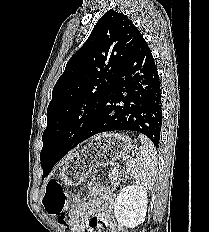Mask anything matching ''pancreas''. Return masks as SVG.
<instances>
[{"label":"pancreas","instance_id":"obj_1","mask_svg":"<svg viewBox=\"0 0 209 232\" xmlns=\"http://www.w3.org/2000/svg\"><path fill=\"white\" fill-rule=\"evenodd\" d=\"M123 175H124L123 171L120 170L119 168L111 170L108 176V181L111 183L114 189L118 187Z\"/></svg>","mask_w":209,"mask_h":232}]
</instances>
